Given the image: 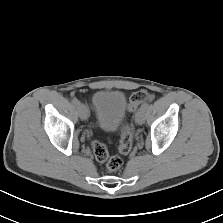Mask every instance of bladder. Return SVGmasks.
I'll list each match as a JSON object with an SVG mask.
<instances>
[{
	"label": "bladder",
	"mask_w": 223,
	"mask_h": 223,
	"mask_svg": "<svg viewBox=\"0 0 223 223\" xmlns=\"http://www.w3.org/2000/svg\"><path fill=\"white\" fill-rule=\"evenodd\" d=\"M97 123L105 131H115L126 115V95L120 90H98L93 95Z\"/></svg>",
	"instance_id": "1"
}]
</instances>
